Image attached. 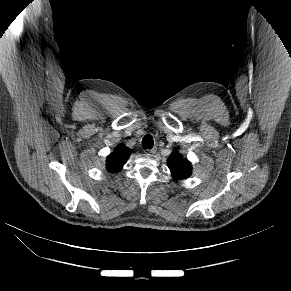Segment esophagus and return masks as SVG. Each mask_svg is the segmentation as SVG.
I'll use <instances>...</instances> for the list:
<instances>
[{
  "label": "esophagus",
  "mask_w": 291,
  "mask_h": 291,
  "mask_svg": "<svg viewBox=\"0 0 291 291\" xmlns=\"http://www.w3.org/2000/svg\"><path fill=\"white\" fill-rule=\"evenodd\" d=\"M156 150H157L156 148H153V149L149 150V153L154 154L156 152Z\"/></svg>",
  "instance_id": "1"
}]
</instances>
